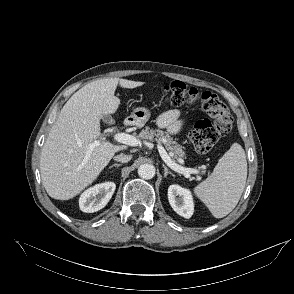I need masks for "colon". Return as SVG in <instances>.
Listing matches in <instances>:
<instances>
[{"label":"colon","instance_id":"obj_1","mask_svg":"<svg viewBox=\"0 0 294 294\" xmlns=\"http://www.w3.org/2000/svg\"><path fill=\"white\" fill-rule=\"evenodd\" d=\"M167 102L173 105L199 104L206 118L198 121L190 133V140L199 153L208 152L232 127V116L225 103L214 93L189 88L174 81L162 87Z\"/></svg>","mask_w":294,"mask_h":294}]
</instances>
